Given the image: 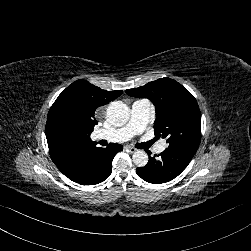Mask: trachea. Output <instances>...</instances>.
<instances>
[{"instance_id": "obj_1", "label": "trachea", "mask_w": 251, "mask_h": 251, "mask_svg": "<svg viewBox=\"0 0 251 251\" xmlns=\"http://www.w3.org/2000/svg\"><path fill=\"white\" fill-rule=\"evenodd\" d=\"M155 141H156V139H153L152 141H148L147 143H143V144H144L143 149L148 148V147H149L151 144H153Z\"/></svg>"}]
</instances>
